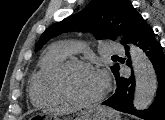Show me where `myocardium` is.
Returning a JSON list of instances; mask_svg holds the SVG:
<instances>
[{
    "instance_id": "1",
    "label": "myocardium",
    "mask_w": 165,
    "mask_h": 120,
    "mask_svg": "<svg viewBox=\"0 0 165 120\" xmlns=\"http://www.w3.org/2000/svg\"><path fill=\"white\" fill-rule=\"evenodd\" d=\"M75 68H85L94 70V67L87 61L80 59H68L62 62L56 70L53 72L51 77L50 86L53 93L64 102H68L76 105H93L100 102L106 94V88L103 86L102 91L99 95L91 99H77L72 97L65 89V77L68 72Z\"/></svg>"
}]
</instances>
